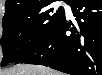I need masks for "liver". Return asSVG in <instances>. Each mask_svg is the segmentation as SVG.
<instances>
[{"mask_svg":"<svg viewBox=\"0 0 102 75\" xmlns=\"http://www.w3.org/2000/svg\"><path fill=\"white\" fill-rule=\"evenodd\" d=\"M1 75H60L58 72L41 65L19 64L1 72Z\"/></svg>","mask_w":102,"mask_h":75,"instance_id":"obj_1","label":"liver"}]
</instances>
